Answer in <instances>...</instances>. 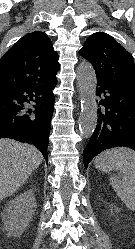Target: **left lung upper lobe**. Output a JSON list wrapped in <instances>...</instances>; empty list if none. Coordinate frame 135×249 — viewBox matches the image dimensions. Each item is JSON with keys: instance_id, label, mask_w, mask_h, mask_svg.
Masks as SVG:
<instances>
[{"instance_id": "5c2ea615", "label": "left lung upper lobe", "mask_w": 135, "mask_h": 249, "mask_svg": "<svg viewBox=\"0 0 135 249\" xmlns=\"http://www.w3.org/2000/svg\"><path fill=\"white\" fill-rule=\"evenodd\" d=\"M79 53L91 62L97 80L135 90L133 57L112 36L103 32L92 34Z\"/></svg>"}]
</instances>
